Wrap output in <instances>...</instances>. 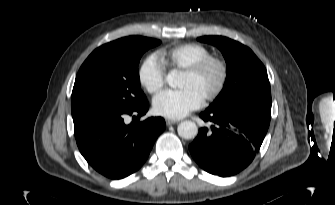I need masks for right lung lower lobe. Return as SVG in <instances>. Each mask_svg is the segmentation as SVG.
<instances>
[{"instance_id": "right-lung-lower-lobe-1", "label": "right lung lower lobe", "mask_w": 335, "mask_h": 205, "mask_svg": "<svg viewBox=\"0 0 335 205\" xmlns=\"http://www.w3.org/2000/svg\"><path fill=\"white\" fill-rule=\"evenodd\" d=\"M149 109L148 101L123 112H95L73 117L78 148L99 173L121 179L137 171L146 161L157 137L166 127L162 117L142 122H124L127 115L140 116Z\"/></svg>"}]
</instances>
